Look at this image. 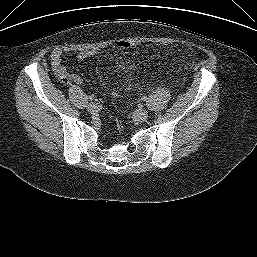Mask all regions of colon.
Segmentation results:
<instances>
[{
  "label": "colon",
  "mask_w": 257,
  "mask_h": 257,
  "mask_svg": "<svg viewBox=\"0 0 257 257\" xmlns=\"http://www.w3.org/2000/svg\"><path fill=\"white\" fill-rule=\"evenodd\" d=\"M118 46L121 49L128 50V49L136 48L137 43L133 42V41H130V40H127V39H123V40L118 42ZM56 75L61 82H63V83H68L69 82V78H68V75L66 73L57 72Z\"/></svg>",
  "instance_id": "colon-1"
}]
</instances>
